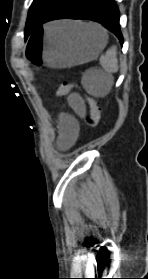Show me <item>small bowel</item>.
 Returning <instances> with one entry per match:
<instances>
[{
    "instance_id": "small-bowel-1",
    "label": "small bowel",
    "mask_w": 148,
    "mask_h": 279,
    "mask_svg": "<svg viewBox=\"0 0 148 279\" xmlns=\"http://www.w3.org/2000/svg\"><path fill=\"white\" fill-rule=\"evenodd\" d=\"M69 103L79 116H84L85 107L78 96H70ZM58 132V144L61 149H68L73 146L79 135V123L77 118L71 114H62L59 118Z\"/></svg>"
}]
</instances>
